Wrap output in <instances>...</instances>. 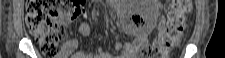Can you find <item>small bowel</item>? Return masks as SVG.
<instances>
[{"label":"small bowel","instance_id":"1","mask_svg":"<svg viewBox=\"0 0 225 58\" xmlns=\"http://www.w3.org/2000/svg\"><path fill=\"white\" fill-rule=\"evenodd\" d=\"M156 5H159L157 1H155ZM63 22L66 23V19H63ZM150 30V29H148ZM132 33L136 34V39L131 42L121 43L116 42L112 46L113 53H120V56L114 57L113 55H110L105 52L99 51L98 53H84V52H76L74 53L75 49L78 46V42L75 39H72L68 41L59 58H135L136 57V51L137 48L146 42V32H141L137 29H131ZM78 33L81 36H87L90 33V27L87 23L83 22L78 26Z\"/></svg>","mask_w":225,"mask_h":58}]
</instances>
